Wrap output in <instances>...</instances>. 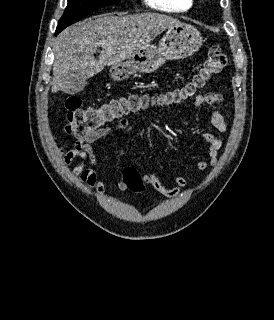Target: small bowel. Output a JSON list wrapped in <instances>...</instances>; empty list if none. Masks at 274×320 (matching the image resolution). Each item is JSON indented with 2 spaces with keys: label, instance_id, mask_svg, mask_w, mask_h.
<instances>
[{
  "label": "small bowel",
  "instance_id": "1",
  "mask_svg": "<svg viewBox=\"0 0 274 320\" xmlns=\"http://www.w3.org/2000/svg\"><path fill=\"white\" fill-rule=\"evenodd\" d=\"M222 101L223 97L219 92L198 94L194 99V107L195 109H200L204 105H210V122L212 126L219 132H226L228 125L223 115L216 109V105ZM135 128L136 126L130 124L127 119L120 118L115 125H105L99 130L77 139L72 149L62 153L63 161L66 165H70L73 161L78 160V164L72 169L73 176L79 178L90 188L95 189L99 195L104 196L106 194V185L94 169L98 165V158L93 145L96 142L109 138L116 131L127 135L134 131ZM202 138L207 145L209 160L201 159L197 162L196 167L199 173H203L209 167L217 164L219 152L223 147V141L212 132H202ZM88 164L90 166H88ZM142 179L166 198L177 197L182 189L188 186V180L183 176L174 177L176 184L174 187H167L155 173L150 171L143 172ZM115 187L119 191H125L127 189V185L123 181H118Z\"/></svg>",
  "mask_w": 274,
  "mask_h": 320
}]
</instances>
